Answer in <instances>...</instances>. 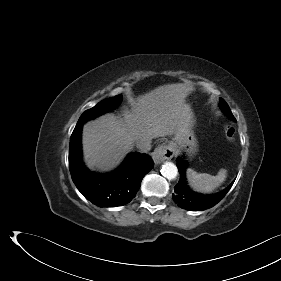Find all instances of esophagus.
<instances>
[{"label": "esophagus", "mask_w": 281, "mask_h": 281, "mask_svg": "<svg viewBox=\"0 0 281 281\" xmlns=\"http://www.w3.org/2000/svg\"><path fill=\"white\" fill-rule=\"evenodd\" d=\"M174 156V150L169 144H162L155 148L152 153V158L155 164H159L164 161L172 159Z\"/></svg>", "instance_id": "esophagus-1"}]
</instances>
